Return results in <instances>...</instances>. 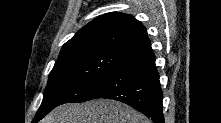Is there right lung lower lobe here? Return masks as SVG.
<instances>
[{
  "instance_id": "98d812e1",
  "label": "right lung lower lobe",
  "mask_w": 221,
  "mask_h": 123,
  "mask_svg": "<svg viewBox=\"0 0 221 123\" xmlns=\"http://www.w3.org/2000/svg\"><path fill=\"white\" fill-rule=\"evenodd\" d=\"M162 95L155 55L151 49L130 56L107 74L96 84L89 100H117L132 106L155 123H164Z\"/></svg>"
}]
</instances>
